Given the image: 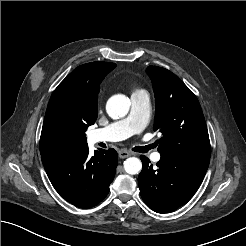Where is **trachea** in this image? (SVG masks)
<instances>
[{"mask_svg":"<svg viewBox=\"0 0 246 246\" xmlns=\"http://www.w3.org/2000/svg\"><path fill=\"white\" fill-rule=\"evenodd\" d=\"M150 148L148 146L142 147V146H137L133 148L134 151L140 152V153H145L149 150Z\"/></svg>","mask_w":246,"mask_h":246,"instance_id":"trachea-1","label":"trachea"}]
</instances>
